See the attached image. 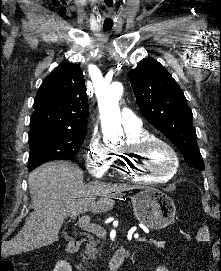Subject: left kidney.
<instances>
[{"instance_id":"left-kidney-1","label":"left kidney","mask_w":221,"mask_h":271,"mask_svg":"<svg viewBox=\"0 0 221 271\" xmlns=\"http://www.w3.org/2000/svg\"><path fill=\"white\" fill-rule=\"evenodd\" d=\"M156 271H168V269H166V267H162V265H159V267H157Z\"/></svg>"}]
</instances>
